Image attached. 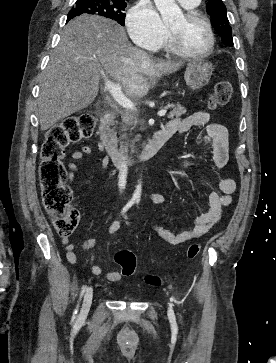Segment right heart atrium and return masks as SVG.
<instances>
[{"label": "right heart atrium", "mask_w": 276, "mask_h": 363, "mask_svg": "<svg viewBox=\"0 0 276 363\" xmlns=\"http://www.w3.org/2000/svg\"><path fill=\"white\" fill-rule=\"evenodd\" d=\"M127 27L133 41L148 50H157L165 43L169 31L149 0H139L128 12Z\"/></svg>", "instance_id": "right-heart-atrium-1"}]
</instances>
